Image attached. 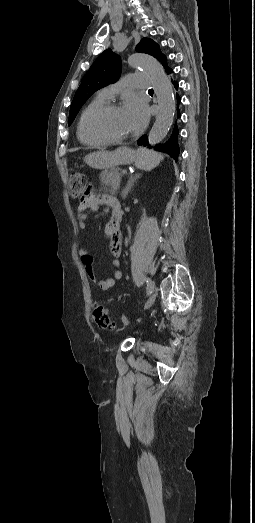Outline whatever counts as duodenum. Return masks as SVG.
Returning a JSON list of instances; mask_svg holds the SVG:
<instances>
[{
	"label": "duodenum",
	"mask_w": 255,
	"mask_h": 523,
	"mask_svg": "<svg viewBox=\"0 0 255 523\" xmlns=\"http://www.w3.org/2000/svg\"><path fill=\"white\" fill-rule=\"evenodd\" d=\"M107 204L111 207L112 210L111 222L114 225H118L122 220V207L120 202L113 197H108Z\"/></svg>",
	"instance_id": "obj_1"
}]
</instances>
